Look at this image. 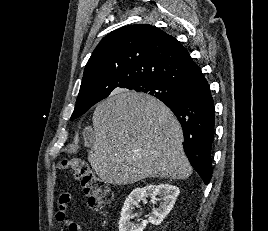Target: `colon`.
<instances>
[{
	"instance_id": "1",
	"label": "colon",
	"mask_w": 268,
	"mask_h": 231,
	"mask_svg": "<svg viewBox=\"0 0 268 231\" xmlns=\"http://www.w3.org/2000/svg\"><path fill=\"white\" fill-rule=\"evenodd\" d=\"M61 166L71 171L80 181L88 197V204L92 209L111 201L112 193L107 184L90 170L85 160L69 158L63 160Z\"/></svg>"
}]
</instances>
